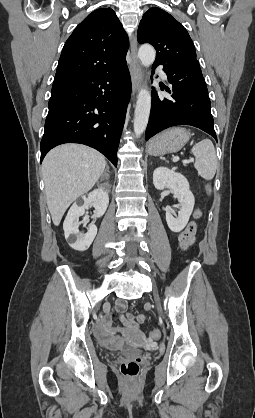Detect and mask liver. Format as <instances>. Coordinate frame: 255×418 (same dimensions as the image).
<instances>
[{
	"label": "liver",
	"instance_id": "obj_1",
	"mask_svg": "<svg viewBox=\"0 0 255 418\" xmlns=\"http://www.w3.org/2000/svg\"><path fill=\"white\" fill-rule=\"evenodd\" d=\"M105 166V157L85 145H60L46 155L42 172L47 205L55 226L60 224L70 204L92 189Z\"/></svg>",
	"mask_w": 255,
	"mask_h": 418
}]
</instances>
